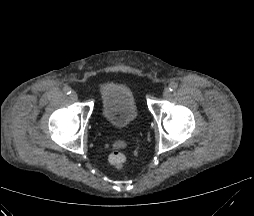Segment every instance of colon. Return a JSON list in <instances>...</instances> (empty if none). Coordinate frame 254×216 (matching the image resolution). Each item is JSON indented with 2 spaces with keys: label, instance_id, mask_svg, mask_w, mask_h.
<instances>
[{
  "label": "colon",
  "instance_id": "1",
  "mask_svg": "<svg viewBox=\"0 0 254 216\" xmlns=\"http://www.w3.org/2000/svg\"><path fill=\"white\" fill-rule=\"evenodd\" d=\"M126 161L124 153L120 150H114L109 156V163L116 169H120Z\"/></svg>",
  "mask_w": 254,
  "mask_h": 216
}]
</instances>
